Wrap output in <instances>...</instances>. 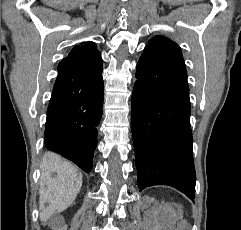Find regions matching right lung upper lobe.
Here are the masks:
<instances>
[{"mask_svg":"<svg viewBox=\"0 0 241 230\" xmlns=\"http://www.w3.org/2000/svg\"><path fill=\"white\" fill-rule=\"evenodd\" d=\"M66 59L79 68L91 70L103 69L102 58L96 49V45L92 42H85L81 46H75L63 60Z\"/></svg>","mask_w":241,"mask_h":230,"instance_id":"obj_1","label":"right lung upper lobe"}]
</instances>
